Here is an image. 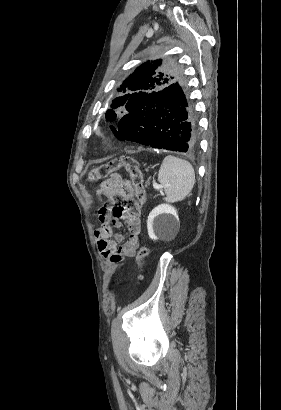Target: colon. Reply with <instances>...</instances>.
Returning a JSON list of instances; mask_svg holds the SVG:
<instances>
[{"instance_id": "obj_1", "label": "colon", "mask_w": 281, "mask_h": 410, "mask_svg": "<svg viewBox=\"0 0 281 410\" xmlns=\"http://www.w3.org/2000/svg\"><path fill=\"white\" fill-rule=\"evenodd\" d=\"M121 169H124L131 178L135 199L125 194H117L110 198V207L115 216L125 213L137 214L146 200V189L138 163L133 158L123 156L94 167L89 171L88 179L91 181L103 180ZM148 254L149 250L146 246L139 249L136 263L140 269L145 266Z\"/></svg>"}]
</instances>
